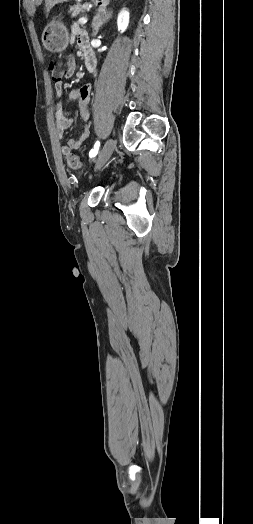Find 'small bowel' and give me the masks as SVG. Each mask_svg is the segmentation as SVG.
Segmentation results:
<instances>
[{
  "mask_svg": "<svg viewBox=\"0 0 253 524\" xmlns=\"http://www.w3.org/2000/svg\"><path fill=\"white\" fill-rule=\"evenodd\" d=\"M74 40L79 46V54L84 58L85 64L88 68V65L93 66L94 75L97 73V58L88 44V35L87 33L75 27L73 31ZM66 71L61 75V80L63 83L70 81L72 77L76 74V61L74 56H69L67 58ZM62 82H57L55 84L56 96L59 99V103L56 108V132L57 136L61 139L64 135L65 130L73 124V119L67 117L64 113L63 105L61 100L64 97V88ZM68 100H77L78 109L80 114V119L82 122L81 134L77 139H69L66 144L62 145L61 152L65 156H69L73 150L78 149L88 138L89 136V122H90V106H91V85L86 84L78 89L72 90L68 96Z\"/></svg>",
  "mask_w": 253,
  "mask_h": 524,
  "instance_id": "small-bowel-1",
  "label": "small bowel"
}]
</instances>
